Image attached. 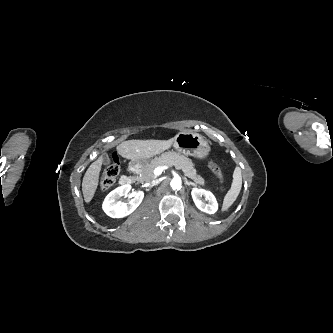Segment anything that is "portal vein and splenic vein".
Wrapping results in <instances>:
<instances>
[{
    "mask_svg": "<svg viewBox=\"0 0 333 333\" xmlns=\"http://www.w3.org/2000/svg\"><path fill=\"white\" fill-rule=\"evenodd\" d=\"M167 168H169V167H168V166H159V167H157V168L154 170V175H155V176H159V175H161L162 172H163L164 170H166Z\"/></svg>",
    "mask_w": 333,
    "mask_h": 333,
    "instance_id": "obj_1",
    "label": "portal vein and splenic vein"
}]
</instances>
